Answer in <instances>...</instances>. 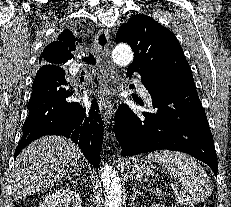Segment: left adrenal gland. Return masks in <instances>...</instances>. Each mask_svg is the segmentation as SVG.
I'll return each instance as SVG.
<instances>
[{"label":"left adrenal gland","mask_w":231,"mask_h":207,"mask_svg":"<svg viewBox=\"0 0 231 207\" xmlns=\"http://www.w3.org/2000/svg\"><path fill=\"white\" fill-rule=\"evenodd\" d=\"M138 193V190L136 188H133V197L135 198L136 194Z\"/></svg>","instance_id":"obj_1"}]
</instances>
